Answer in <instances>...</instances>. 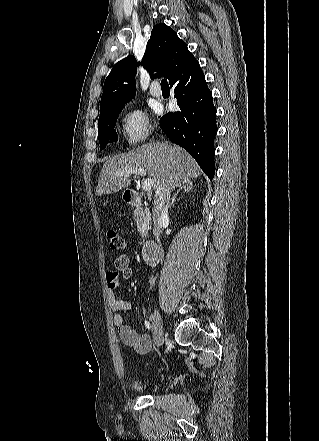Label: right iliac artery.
Wrapping results in <instances>:
<instances>
[{"mask_svg":"<svg viewBox=\"0 0 319 441\" xmlns=\"http://www.w3.org/2000/svg\"><path fill=\"white\" fill-rule=\"evenodd\" d=\"M145 326L146 328L150 329L151 328V324L149 321H145Z\"/></svg>","mask_w":319,"mask_h":441,"instance_id":"obj_1","label":"right iliac artery"}]
</instances>
